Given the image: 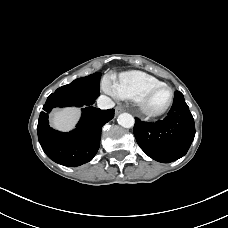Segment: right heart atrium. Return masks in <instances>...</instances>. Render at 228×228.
<instances>
[{"label": "right heart atrium", "mask_w": 228, "mask_h": 228, "mask_svg": "<svg viewBox=\"0 0 228 228\" xmlns=\"http://www.w3.org/2000/svg\"><path fill=\"white\" fill-rule=\"evenodd\" d=\"M113 85H114V83H113L111 77H106L105 80H104V88H105V90L108 93L112 94L113 96L117 97L115 92H114Z\"/></svg>", "instance_id": "right-heart-atrium-1"}]
</instances>
